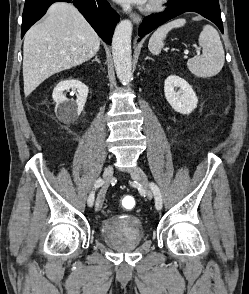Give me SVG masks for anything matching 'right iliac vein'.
I'll list each match as a JSON object with an SVG mask.
<instances>
[{
    "instance_id": "63e3f726",
    "label": "right iliac vein",
    "mask_w": 249,
    "mask_h": 294,
    "mask_svg": "<svg viewBox=\"0 0 249 294\" xmlns=\"http://www.w3.org/2000/svg\"><path fill=\"white\" fill-rule=\"evenodd\" d=\"M112 176H113V167L109 165L106 167V169L103 172V186L101 190L99 191L97 199H96V203H95L96 211L100 210L103 206L106 190L112 179Z\"/></svg>"
}]
</instances>
